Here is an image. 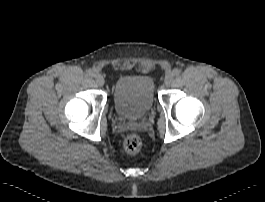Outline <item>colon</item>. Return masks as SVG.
Listing matches in <instances>:
<instances>
[{
    "label": "colon",
    "mask_w": 265,
    "mask_h": 202,
    "mask_svg": "<svg viewBox=\"0 0 265 202\" xmlns=\"http://www.w3.org/2000/svg\"><path fill=\"white\" fill-rule=\"evenodd\" d=\"M123 146L128 154H137L141 149L142 139L136 133L129 134L125 138Z\"/></svg>",
    "instance_id": "colon-1"
}]
</instances>
